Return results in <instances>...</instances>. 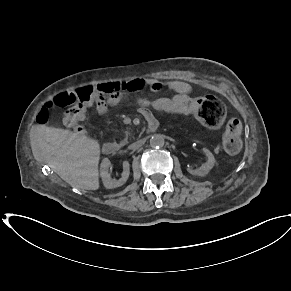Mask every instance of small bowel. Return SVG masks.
Listing matches in <instances>:
<instances>
[{
  "label": "small bowel",
  "mask_w": 291,
  "mask_h": 291,
  "mask_svg": "<svg viewBox=\"0 0 291 291\" xmlns=\"http://www.w3.org/2000/svg\"><path fill=\"white\" fill-rule=\"evenodd\" d=\"M125 90L117 95L106 98L97 103L96 109L99 115L104 116L108 112L109 107H114L122 103L129 95L139 92L143 89H147L152 92H159L163 90H169L175 93L172 98H177V96H188V98H193L190 96L191 87L188 83L183 81H162L158 79H142L134 78L126 81L124 83ZM150 108L146 107L145 102L142 103L140 107V112L147 118H153ZM156 110V109H155Z\"/></svg>",
  "instance_id": "c3829d8e"
}]
</instances>
